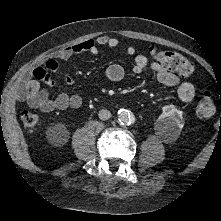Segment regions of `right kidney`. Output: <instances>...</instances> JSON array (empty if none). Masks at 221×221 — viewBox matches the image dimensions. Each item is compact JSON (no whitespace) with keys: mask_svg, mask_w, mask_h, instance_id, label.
Wrapping results in <instances>:
<instances>
[{"mask_svg":"<svg viewBox=\"0 0 221 221\" xmlns=\"http://www.w3.org/2000/svg\"><path fill=\"white\" fill-rule=\"evenodd\" d=\"M66 134L67 130L63 124H56L55 126L48 129V135L55 140L63 139Z\"/></svg>","mask_w":221,"mask_h":221,"instance_id":"obj_1","label":"right kidney"}]
</instances>
